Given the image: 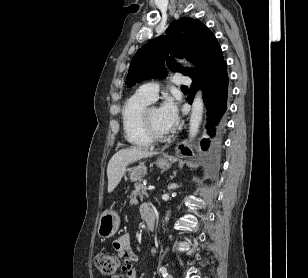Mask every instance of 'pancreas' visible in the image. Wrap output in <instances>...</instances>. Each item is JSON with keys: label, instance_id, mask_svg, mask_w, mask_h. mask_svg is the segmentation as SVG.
I'll list each match as a JSON object with an SVG mask.
<instances>
[{"label": "pancreas", "instance_id": "1", "mask_svg": "<svg viewBox=\"0 0 308 278\" xmlns=\"http://www.w3.org/2000/svg\"><path fill=\"white\" fill-rule=\"evenodd\" d=\"M147 188L143 186L142 184H139L136 186V189L132 191L130 195V205H136L138 204L137 196H140L141 200H143L144 196L147 197L148 194L146 192Z\"/></svg>", "mask_w": 308, "mask_h": 278}]
</instances>
